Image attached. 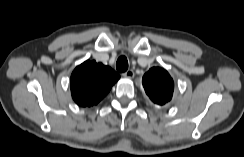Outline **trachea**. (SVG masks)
Masks as SVG:
<instances>
[{
  "mask_svg": "<svg viewBox=\"0 0 244 157\" xmlns=\"http://www.w3.org/2000/svg\"><path fill=\"white\" fill-rule=\"evenodd\" d=\"M116 68L119 72H125L128 69V60L125 56L118 58Z\"/></svg>",
  "mask_w": 244,
  "mask_h": 157,
  "instance_id": "1",
  "label": "trachea"
}]
</instances>
